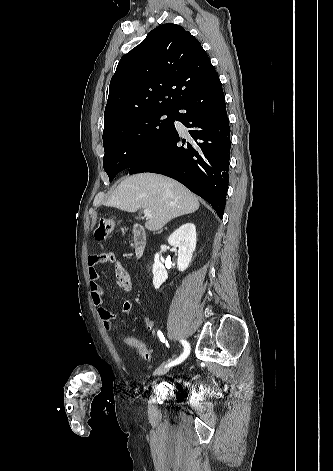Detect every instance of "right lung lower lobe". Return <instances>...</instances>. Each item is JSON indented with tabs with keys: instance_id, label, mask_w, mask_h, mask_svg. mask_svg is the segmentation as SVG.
I'll return each mask as SVG.
<instances>
[{
	"instance_id": "right-lung-lower-lobe-1",
	"label": "right lung lower lobe",
	"mask_w": 333,
	"mask_h": 471,
	"mask_svg": "<svg viewBox=\"0 0 333 471\" xmlns=\"http://www.w3.org/2000/svg\"><path fill=\"white\" fill-rule=\"evenodd\" d=\"M174 120L192 139H182ZM230 129L218 75L190 95L174 112L170 130L129 169L169 176L209 202L223 217L229 182Z\"/></svg>"
}]
</instances>
